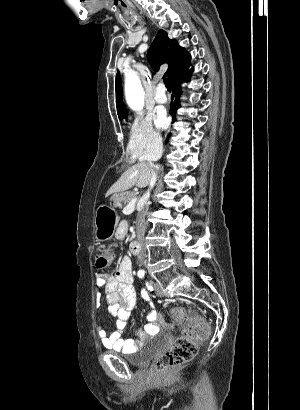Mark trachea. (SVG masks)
<instances>
[{
  "instance_id": "3493384b",
  "label": "trachea",
  "mask_w": 300,
  "mask_h": 410,
  "mask_svg": "<svg viewBox=\"0 0 300 410\" xmlns=\"http://www.w3.org/2000/svg\"><path fill=\"white\" fill-rule=\"evenodd\" d=\"M164 84H165L167 90H168V91H171L172 86H171V82H170V79H169V78H165V79H164Z\"/></svg>"
}]
</instances>
